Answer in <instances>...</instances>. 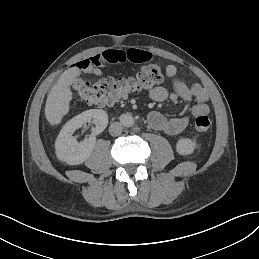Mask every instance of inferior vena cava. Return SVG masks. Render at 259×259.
I'll list each match as a JSON object with an SVG mask.
<instances>
[{"instance_id": "1", "label": "inferior vena cava", "mask_w": 259, "mask_h": 259, "mask_svg": "<svg viewBox=\"0 0 259 259\" xmlns=\"http://www.w3.org/2000/svg\"><path fill=\"white\" fill-rule=\"evenodd\" d=\"M122 132V125L119 122H114L109 127V133L112 136H118Z\"/></svg>"}]
</instances>
